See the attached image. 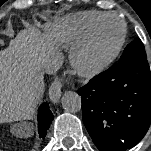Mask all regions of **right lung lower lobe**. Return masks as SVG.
<instances>
[{"instance_id": "obj_1", "label": "right lung lower lobe", "mask_w": 151, "mask_h": 151, "mask_svg": "<svg viewBox=\"0 0 151 151\" xmlns=\"http://www.w3.org/2000/svg\"><path fill=\"white\" fill-rule=\"evenodd\" d=\"M54 116L49 109L47 102L42 103L38 110V131L39 137L44 138Z\"/></svg>"}]
</instances>
